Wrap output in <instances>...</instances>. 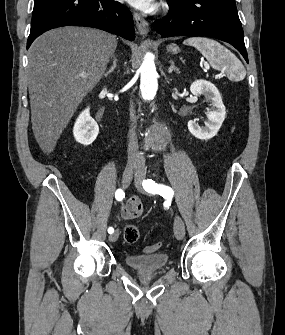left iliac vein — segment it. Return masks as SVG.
Returning a JSON list of instances; mask_svg holds the SVG:
<instances>
[{"instance_id":"1","label":"left iliac vein","mask_w":285,"mask_h":335,"mask_svg":"<svg viewBox=\"0 0 285 335\" xmlns=\"http://www.w3.org/2000/svg\"><path fill=\"white\" fill-rule=\"evenodd\" d=\"M143 178L140 176V174H136L135 177V186L137 190L141 193L144 192L143 186H142ZM174 234L177 239L182 240L185 236V224L183 220L179 216H175L174 220Z\"/></svg>"}]
</instances>
